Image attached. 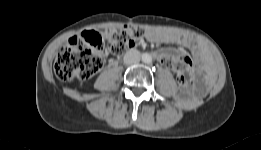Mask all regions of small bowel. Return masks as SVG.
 I'll return each mask as SVG.
<instances>
[{"mask_svg": "<svg viewBox=\"0 0 261 150\" xmlns=\"http://www.w3.org/2000/svg\"><path fill=\"white\" fill-rule=\"evenodd\" d=\"M145 37L148 41L153 43H164V44H178L183 47L190 49L195 58L202 65L203 69L211 73V61L205 46L199 42L194 41L192 38L183 36L181 34L163 31L158 29H149L145 33ZM176 54L170 49H162L154 53V57L157 59L164 60Z\"/></svg>", "mask_w": 261, "mask_h": 150, "instance_id": "1", "label": "small bowel"}]
</instances>
